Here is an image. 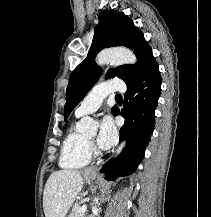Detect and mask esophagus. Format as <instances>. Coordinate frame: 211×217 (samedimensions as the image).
<instances>
[{"instance_id":"1","label":"esophagus","mask_w":211,"mask_h":217,"mask_svg":"<svg viewBox=\"0 0 211 217\" xmlns=\"http://www.w3.org/2000/svg\"><path fill=\"white\" fill-rule=\"evenodd\" d=\"M94 170H95L94 167H90V168L88 169V171H94Z\"/></svg>"}]
</instances>
